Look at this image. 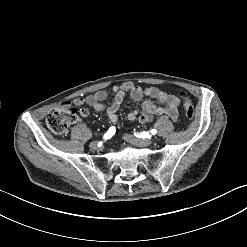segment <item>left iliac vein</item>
I'll return each mask as SVG.
<instances>
[{"label": "left iliac vein", "mask_w": 247, "mask_h": 247, "mask_svg": "<svg viewBox=\"0 0 247 247\" xmlns=\"http://www.w3.org/2000/svg\"><path fill=\"white\" fill-rule=\"evenodd\" d=\"M123 139L125 141L130 142V143L137 144V145L143 146V147H147V146H150L153 144V141L150 139H139V138H136L132 135H124Z\"/></svg>", "instance_id": "1"}]
</instances>
